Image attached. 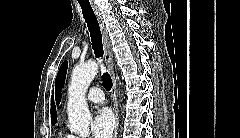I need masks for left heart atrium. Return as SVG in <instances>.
I'll return each mask as SVG.
<instances>
[{
	"label": "left heart atrium",
	"mask_w": 240,
	"mask_h": 138,
	"mask_svg": "<svg viewBox=\"0 0 240 138\" xmlns=\"http://www.w3.org/2000/svg\"><path fill=\"white\" fill-rule=\"evenodd\" d=\"M112 113L107 108L99 109L92 121L91 132L94 138H110L114 129Z\"/></svg>",
	"instance_id": "39dd6f15"
}]
</instances>
